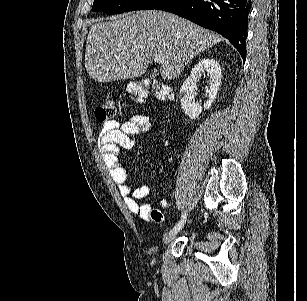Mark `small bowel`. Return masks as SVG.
Returning <instances> with one entry per match:
<instances>
[{
	"label": "small bowel",
	"mask_w": 307,
	"mask_h": 301,
	"mask_svg": "<svg viewBox=\"0 0 307 301\" xmlns=\"http://www.w3.org/2000/svg\"><path fill=\"white\" fill-rule=\"evenodd\" d=\"M149 118L143 114H134L126 120H111L106 122L99 134L98 145L103 155L106 166L126 206L131 212L144 220L149 219L151 207L140 204L138 200L145 198L150 193V188L142 185L132 188L127 180V172L122 165L118 155L121 149H132L136 144L137 136L150 129ZM174 202L165 198L162 206L171 207Z\"/></svg>",
	"instance_id": "obj_1"
}]
</instances>
